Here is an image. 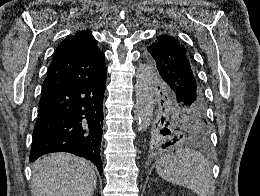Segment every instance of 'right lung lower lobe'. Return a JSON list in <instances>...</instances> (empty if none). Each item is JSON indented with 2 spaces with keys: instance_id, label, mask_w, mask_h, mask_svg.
Segmentation results:
<instances>
[{
  "instance_id": "98d812e1",
  "label": "right lung lower lobe",
  "mask_w": 260,
  "mask_h": 196,
  "mask_svg": "<svg viewBox=\"0 0 260 196\" xmlns=\"http://www.w3.org/2000/svg\"><path fill=\"white\" fill-rule=\"evenodd\" d=\"M106 75L40 98L30 161L69 152L93 161L102 174L100 147Z\"/></svg>"
}]
</instances>
